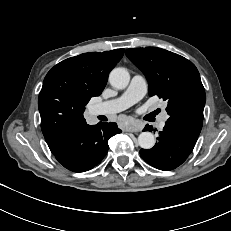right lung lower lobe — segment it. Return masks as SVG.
I'll list each match as a JSON object with an SVG mask.
<instances>
[{
    "label": "right lung lower lobe",
    "mask_w": 231,
    "mask_h": 231,
    "mask_svg": "<svg viewBox=\"0 0 231 231\" xmlns=\"http://www.w3.org/2000/svg\"><path fill=\"white\" fill-rule=\"evenodd\" d=\"M116 123L84 125L68 133L50 149L57 161L74 172H83L99 164L108 152V139L120 133Z\"/></svg>",
    "instance_id": "1"
}]
</instances>
